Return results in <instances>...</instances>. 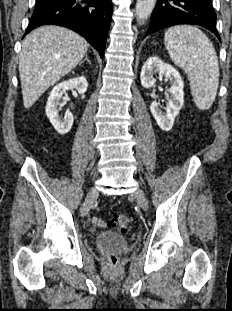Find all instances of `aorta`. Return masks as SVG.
I'll use <instances>...</instances> for the list:
<instances>
[{
    "instance_id": "1",
    "label": "aorta",
    "mask_w": 232,
    "mask_h": 311,
    "mask_svg": "<svg viewBox=\"0 0 232 311\" xmlns=\"http://www.w3.org/2000/svg\"><path fill=\"white\" fill-rule=\"evenodd\" d=\"M155 4L156 0H137L136 17L139 23L146 20L151 15Z\"/></svg>"
}]
</instances>
